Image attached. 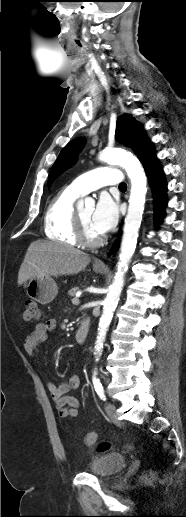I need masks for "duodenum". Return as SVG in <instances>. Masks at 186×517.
Instances as JSON below:
<instances>
[{"instance_id": "obj_1", "label": "duodenum", "mask_w": 186, "mask_h": 517, "mask_svg": "<svg viewBox=\"0 0 186 517\" xmlns=\"http://www.w3.org/2000/svg\"><path fill=\"white\" fill-rule=\"evenodd\" d=\"M89 328H90V320L88 318H85L81 322V324L79 325V327L77 328V330L75 332V339L78 344H80V345L85 344V342L87 340Z\"/></svg>"}]
</instances>
